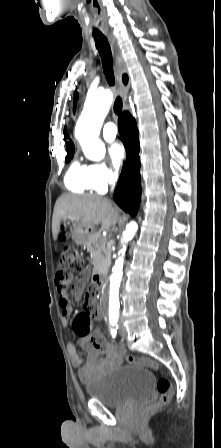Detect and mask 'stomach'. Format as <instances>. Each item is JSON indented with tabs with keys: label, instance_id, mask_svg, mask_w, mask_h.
<instances>
[{
	"label": "stomach",
	"instance_id": "0dacf381",
	"mask_svg": "<svg viewBox=\"0 0 221 448\" xmlns=\"http://www.w3.org/2000/svg\"><path fill=\"white\" fill-rule=\"evenodd\" d=\"M91 235H92V227H85L78 222L73 224L72 238L76 243L78 244L85 243Z\"/></svg>",
	"mask_w": 221,
	"mask_h": 448
}]
</instances>
